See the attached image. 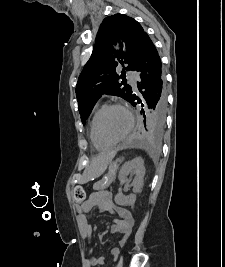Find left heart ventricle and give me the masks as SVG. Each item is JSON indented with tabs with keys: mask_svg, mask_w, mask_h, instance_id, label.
Wrapping results in <instances>:
<instances>
[{
	"mask_svg": "<svg viewBox=\"0 0 225 267\" xmlns=\"http://www.w3.org/2000/svg\"><path fill=\"white\" fill-rule=\"evenodd\" d=\"M129 118L122 109L108 111L101 122V132L105 139L113 141L120 139L127 131Z\"/></svg>",
	"mask_w": 225,
	"mask_h": 267,
	"instance_id": "1",
	"label": "left heart ventricle"
}]
</instances>
